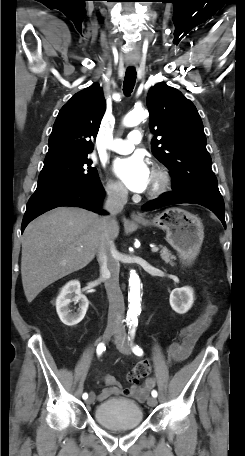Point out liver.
Segmentation results:
<instances>
[{
  "instance_id": "obj_1",
  "label": "liver",
  "mask_w": 245,
  "mask_h": 456,
  "mask_svg": "<svg viewBox=\"0 0 245 456\" xmlns=\"http://www.w3.org/2000/svg\"><path fill=\"white\" fill-rule=\"evenodd\" d=\"M101 217L76 207H59L32 221L22 240L21 276L26 299L55 281L86 267L98 252ZM116 221L111 227L114 240Z\"/></svg>"
}]
</instances>
